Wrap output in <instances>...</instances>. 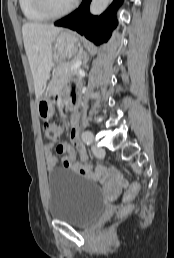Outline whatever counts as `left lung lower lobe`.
<instances>
[{
  "label": "left lung lower lobe",
  "instance_id": "1",
  "mask_svg": "<svg viewBox=\"0 0 174 258\" xmlns=\"http://www.w3.org/2000/svg\"><path fill=\"white\" fill-rule=\"evenodd\" d=\"M90 2L91 0H83L78 9L55 22V25L75 30L99 45L109 39L112 28L116 27L115 14L122 0H114L112 5L100 16L90 14Z\"/></svg>",
  "mask_w": 174,
  "mask_h": 258
}]
</instances>
